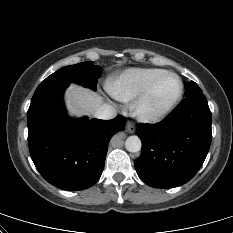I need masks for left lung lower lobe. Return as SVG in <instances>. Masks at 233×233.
Listing matches in <instances>:
<instances>
[{"label": "left lung lower lobe", "instance_id": "left-lung-lower-lobe-1", "mask_svg": "<svg viewBox=\"0 0 233 233\" xmlns=\"http://www.w3.org/2000/svg\"><path fill=\"white\" fill-rule=\"evenodd\" d=\"M142 152L138 176L154 188L187 183L201 168L211 143V112L205 95L186 97L163 121L138 124Z\"/></svg>", "mask_w": 233, "mask_h": 233}]
</instances>
